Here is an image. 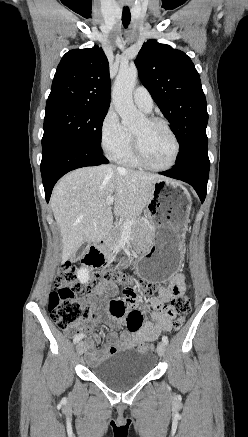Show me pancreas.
<instances>
[{
    "instance_id": "cf45deb5",
    "label": "pancreas",
    "mask_w": 248,
    "mask_h": 437,
    "mask_svg": "<svg viewBox=\"0 0 248 437\" xmlns=\"http://www.w3.org/2000/svg\"><path fill=\"white\" fill-rule=\"evenodd\" d=\"M127 220H129V219H127ZM133 220H135V223L131 226L132 231L138 232L140 234V236L146 237V239H148V237L150 235L149 224L143 219L137 218V219H133ZM125 222L123 224H118L115 227L112 235L110 236V238L108 239V241L105 244L107 247V251L109 253V256L112 255V251L118 247L119 241H120L122 233L124 231ZM112 259H114V257H112Z\"/></svg>"
}]
</instances>
